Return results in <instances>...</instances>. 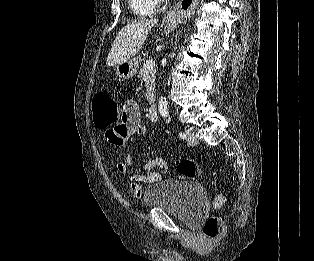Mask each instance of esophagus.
Here are the masks:
<instances>
[{
  "instance_id": "1",
  "label": "esophagus",
  "mask_w": 314,
  "mask_h": 261,
  "mask_svg": "<svg viewBox=\"0 0 314 261\" xmlns=\"http://www.w3.org/2000/svg\"><path fill=\"white\" fill-rule=\"evenodd\" d=\"M195 8H196V6L193 4V5H191V7H190V9H189V11H194L195 10ZM182 11L183 10H173V11H170L169 13H167V16H176L177 14H182Z\"/></svg>"
}]
</instances>
